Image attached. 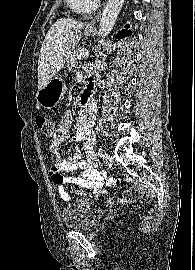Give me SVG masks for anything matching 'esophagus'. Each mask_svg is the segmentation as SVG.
<instances>
[{
  "mask_svg": "<svg viewBox=\"0 0 195 270\" xmlns=\"http://www.w3.org/2000/svg\"><path fill=\"white\" fill-rule=\"evenodd\" d=\"M100 16H101V11H99L98 14L91 21H89L86 24V28L95 29L96 28V24H97Z\"/></svg>",
  "mask_w": 195,
  "mask_h": 270,
  "instance_id": "obj_1",
  "label": "esophagus"
}]
</instances>
